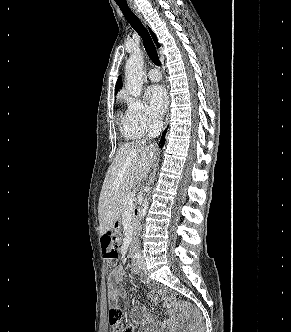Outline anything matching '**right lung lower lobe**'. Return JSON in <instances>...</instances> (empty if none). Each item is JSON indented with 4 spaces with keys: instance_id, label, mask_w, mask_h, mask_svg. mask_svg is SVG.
Wrapping results in <instances>:
<instances>
[{
    "instance_id": "obj_1",
    "label": "right lung lower lobe",
    "mask_w": 291,
    "mask_h": 332,
    "mask_svg": "<svg viewBox=\"0 0 291 332\" xmlns=\"http://www.w3.org/2000/svg\"><path fill=\"white\" fill-rule=\"evenodd\" d=\"M160 143H161V146H164V143H165V131L163 132V135L161 137Z\"/></svg>"
}]
</instances>
